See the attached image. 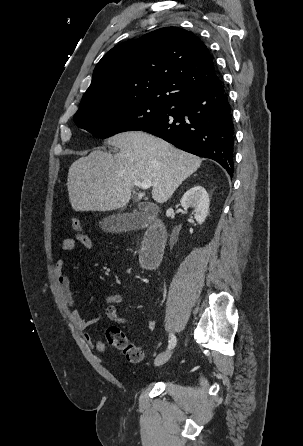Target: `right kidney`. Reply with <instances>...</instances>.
I'll list each match as a JSON object with an SVG mask.
<instances>
[{
  "instance_id": "1",
  "label": "right kidney",
  "mask_w": 303,
  "mask_h": 446,
  "mask_svg": "<svg viewBox=\"0 0 303 446\" xmlns=\"http://www.w3.org/2000/svg\"><path fill=\"white\" fill-rule=\"evenodd\" d=\"M181 206L184 210L193 208L194 217L199 224H202L209 211V195L202 186L190 188L181 198Z\"/></svg>"
}]
</instances>
